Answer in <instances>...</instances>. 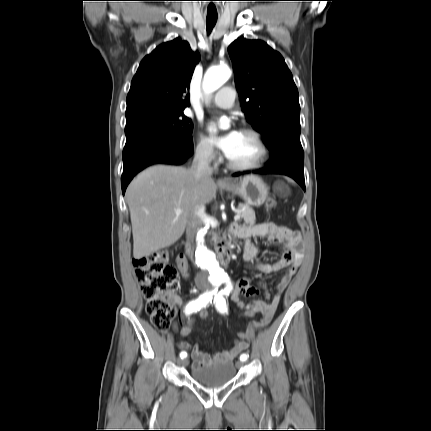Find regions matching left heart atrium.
Listing matches in <instances>:
<instances>
[{"label":"left heart atrium","mask_w":431,"mask_h":431,"mask_svg":"<svg viewBox=\"0 0 431 431\" xmlns=\"http://www.w3.org/2000/svg\"><path fill=\"white\" fill-rule=\"evenodd\" d=\"M208 131L211 134L213 143L228 156L238 138L239 132L230 130L226 133H220L215 123H210L208 125Z\"/></svg>","instance_id":"1"}]
</instances>
